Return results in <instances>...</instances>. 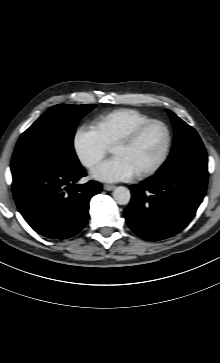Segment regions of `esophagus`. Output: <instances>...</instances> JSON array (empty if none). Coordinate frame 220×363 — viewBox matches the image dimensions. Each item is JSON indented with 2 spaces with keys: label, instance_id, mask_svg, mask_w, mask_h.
<instances>
[{
  "label": "esophagus",
  "instance_id": "1",
  "mask_svg": "<svg viewBox=\"0 0 220 363\" xmlns=\"http://www.w3.org/2000/svg\"><path fill=\"white\" fill-rule=\"evenodd\" d=\"M103 189L106 191H111V190L115 189V185L105 184L103 186Z\"/></svg>",
  "mask_w": 220,
  "mask_h": 363
}]
</instances>
